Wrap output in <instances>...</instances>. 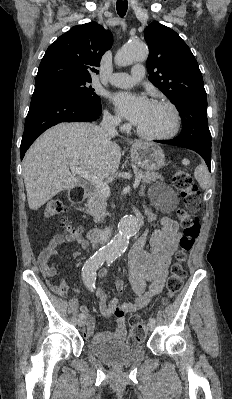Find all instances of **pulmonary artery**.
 <instances>
[{"mask_svg": "<svg viewBox=\"0 0 232 399\" xmlns=\"http://www.w3.org/2000/svg\"><path fill=\"white\" fill-rule=\"evenodd\" d=\"M134 68L131 73H124L123 70H120L117 77L107 75L105 82L114 85L112 90H132L133 84H142L143 75L141 70H144L145 65L144 63H135Z\"/></svg>", "mask_w": 232, "mask_h": 399, "instance_id": "1", "label": "pulmonary artery"}]
</instances>
